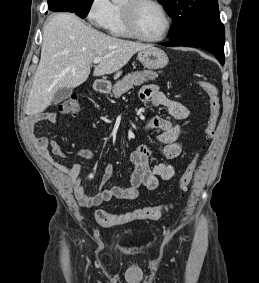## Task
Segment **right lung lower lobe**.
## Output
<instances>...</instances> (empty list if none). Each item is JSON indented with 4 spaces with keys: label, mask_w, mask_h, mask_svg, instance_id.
I'll return each instance as SVG.
<instances>
[{
    "label": "right lung lower lobe",
    "mask_w": 259,
    "mask_h": 283,
    "mask_svg": "<svg viewBox=\"0 0 259 283\" xmlns=\"http://www.w3.org/2000/svg\"><path fill=\"white\" fill-rule=\"evenodd\" d=\"M49 10L54 12H77L79 0H48Z\"/></svg>",
    "instance_id": "98d812e1"
}]
</instances>
